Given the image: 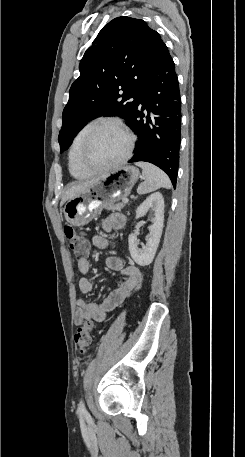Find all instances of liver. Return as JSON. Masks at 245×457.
<instances>
[{"label": "liver", "mask_w": 245, "mask_h": 457, "mask_svg": "<svg viewBox=\"0 0 245 457\" xmlns=\"http://www.w3.org/2000/svg\"><path fill=\"white\" fill-rule=\"evenodd\" d=\"M100 178H103V176H97V178H91V180H85V182H78V184H74V186H70L68 190H66L60 204H64L68 198H73L75 194H79V192H82V190H85V188H88V186H91V184H94V182H97V180H100Z\"/></svg>", "instance_id": "6515ba94"}]
</instances>
